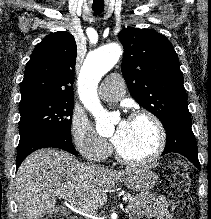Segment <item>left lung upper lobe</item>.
Returning <instances> with one entry per match:
<instances>
[{"instance_id": "left-lung-upper-lobe-1", "label": "left lung upper lobe", "mask_w": 211, "mask_h": 219, "mask_svg": "<svg viewBox=\"0 0 211 219\" xmlns=\"http://www.w3.org/2000/svg\"><path fill=\"white\" fill-rule=\"evenodd\" d=\"M124 47L122 74L132 97L164 125L190 116L179 58L170 41L150 29L127 27L119 33Z\"/></svg>"}]
</instances>
